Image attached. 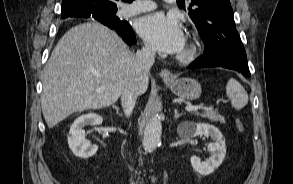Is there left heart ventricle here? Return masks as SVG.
I'll list each match as a JSON object with an SVG mask.
<instances>
[{"mask_svg":"<svg viewBox=\"0 0 293 184\" xmlns=\"http://www.w3.org/2000/svg\"><path fill=\"white\" fill-rule=\"evenodd\" d=\"M186 48H187V41H185V43H184L182 49L180 50V52L184 51Z\"/></svg>","mask_w":293,"mask_h":184,"instance_id":"b2bd125f","label":"left heart ventricle"}]
</instances>
